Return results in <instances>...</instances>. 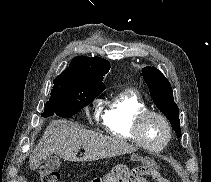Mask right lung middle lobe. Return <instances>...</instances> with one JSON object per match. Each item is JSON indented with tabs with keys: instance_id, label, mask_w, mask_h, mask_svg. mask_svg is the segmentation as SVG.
<instances>
[{
	"instance_id": "right-lung-middle-lobe-1",
	"label": "right lung middle lobe",
	"mask_w": 211,
	"mask_h": 182,
	"mask_svg": "<svg viewBox=\"0 0 211 182\" xmlns=\"http://www.w3.org/2000/svg\"><path fill=\"white\" fill-rule=\"evenodd\" d=\"M43 117L58 115L71 117L90 104L103 90L88 84L77 83L63 77H56Z\"/></svg>"
}]
</instances>
